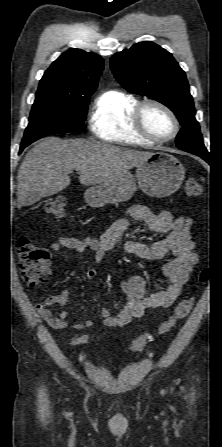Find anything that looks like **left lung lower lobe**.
I'll use <instances>...</instances> for the list:
<instances>
[{
	"mask_svg": "<svg viewBox=\"0 0 222 447\" xmlns=\"http://www.w3.org/2000/svg\"><path fill=\"white\" fill-rule=\"evenodd\" d=\"M190 153L195 154V155L203 158L205 161H208V159H209V154L205 155V154H200V153H195V152H190Z\"/></svg>",
	"mask_w": 222,
	"mask_h": 447,
	"instance_id": "0a47b994",
	"label": "left lung lower lobe"
}]
</instances>
